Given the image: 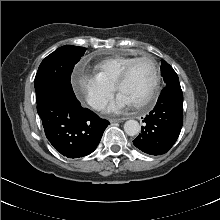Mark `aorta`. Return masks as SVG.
I'll return each instance as SVG.
<instances>
[{"instance_id":"aorta-1","label":"aorta","mask_w":220,"mask_h":220,"mask_svg":"<svg viewBox=\"0 0 220 220\" xmlns=\"http://www.w3.org/2000/svg\"><path fill=\"white\" fill-rule=\"evenodd\" d=\"M124 131L129 136H135L140 132V125L136 120H128L124 124Z\"/></svg>"}]
</instances>
